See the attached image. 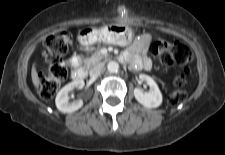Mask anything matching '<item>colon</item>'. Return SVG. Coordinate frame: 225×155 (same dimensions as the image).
<instances>
[{
  "instance_id": "obj_1",
  "label": "colon",
  "mask_w": 225,
  "mask_h": 155,
  "mask_svg": "<svg viewBox=\"0 0 225 155\" xmlns=\"http://www.w3.org/2000/svg\"><path fill=\"white\" fill-rule=\"evenodd\" d=\"M72 35L68 31L52 34L45 39L44 57L48 67L39 75V94L43 99H51L61 83L67 78V67L60 61L71 45ZM152 53L165 65L178 64L183 71L174 80L175 89L168 94L167 102L170 105L178 104L184 98V86L189 73L188 64L192 60L189 46L181 41L154 40L151 43Z\"/></svg>"
}]
</instances>
